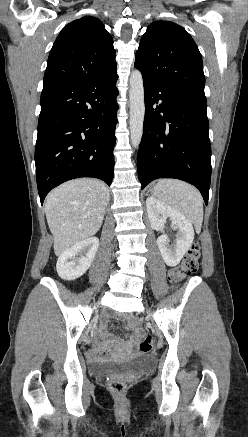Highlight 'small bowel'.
Instances as JSON below:
<instances>
[{
    "mask_svg": "<svg viewBox=\"0 0 248 437\" xmlns=\"http://www.w3.org/2000/svg\"><path fill=\"white\" fill-rule=\"evenodd\" d=\"M140 336V330L134 328L131 336L126 341L114 340L111 336L105 332L101 333L102 342L97 347H95L93 353L97 356L107 355L113 351H130L135 347L137 340Z\"/></svg>",
    "mask_w": 248,
    "mask_h": 437,
    "instance_id": "obj_1",
    "label": "small bowel"
}]
</instances>
